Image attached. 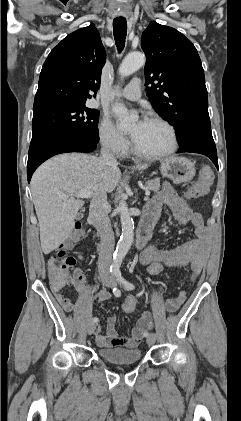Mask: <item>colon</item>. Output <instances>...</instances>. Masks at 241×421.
I'll list each match as a JSON object with an SVG mask.
<instances>
[{
  "instance_id": "colon-1",
  "label": "colon",
  "mask_w": 241,
  "mask_h": 421,
  "mask_svg": "<svg viewBox=\"0 0 241 421\" xmlns=\"http://www.w3.org/2000/svg\"><path fill=\"white\" fill-rule=\"evenodd\" d=\"M212 182L213 172L211 168L207 165H203L199 171L197 181L186 191L185 197L188 200H193L206 195L210 190ZM83 234V226L80 222H77L65 244L48 258L47 270L52 285L59 287L74 280L75 273L72 275L70 269L75 266L76 260L74 257L67 255L66 249L71 247L75 242H78L83 237ZM164 270L165 265L162 262H152L148 265L147 277H157L161 275ZM140 291L141 287L137 292L130 294L122 303V310L125 313H131L135 310Z\"/></svg>"
}]
</instances>
